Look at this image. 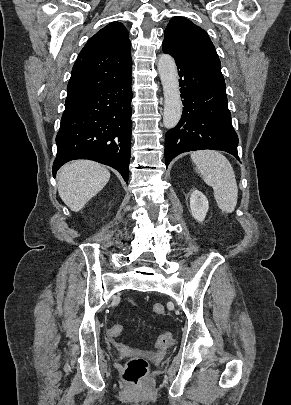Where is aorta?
<instances>
[{"label": "aorta", "instance_id": "762f6f07", "mask_svg": "<svg viewBox=\"0 0 291 405\" xmlns=\"http://www.w3.org/2000/svg\"><path fill=\"white\" fill-rule=\"evenodd\" d=\"M157 66L164 94L163 124L171 129L178 124L182 114L177 68L168 54L160 55Z\"/></svg>", "mask_w": 291, "mask_h": 405}]
</instances>
